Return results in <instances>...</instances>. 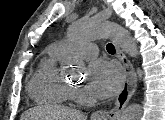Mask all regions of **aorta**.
Masks as SVG:
<instances>
[{
  "label": "aorta",
  "mask_w": 165,
  "mask_h": 120,
  "mask_svg": "<svg viewBox=\"0 0 165 120\" xmlns=\"http://www.w3.org/2000/svg\"><path fill=\"white\" fill-rule=\"evenodd\" d=\"M72 35L75 37L99 39L114 37L121 49L131 57H137L138 47L129 31L121 25L93 18L90 20H78L71 25ZM142 115L141 106L133 104L128 106L119 117V120H140Z\"/></svg>",
  "instance_id": "1"
}]
</instances>
